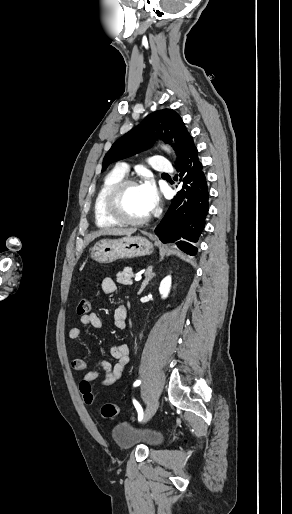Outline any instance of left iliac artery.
Masks as SVG:
<instances>
[{
  "instance_id": "obj_1",
  "label": "left iliac artery",
  "mask_w": 292,
  "mask_h": 514,
  "mask_svg": "<svg viewBox=\"0 0 292 514\" xmlns=\"http://www.w3.org/2000/svg\"><path fill=\"white\" fill-rule=\"evenodd\" d=\"M141 384V380H136L133 384L134 387H137ZM134 405H135V408L137 410V413H138V421H142L143 419V409L141 407V405L137 402V401H134Z\"/></svg>"
}]
</instances>
